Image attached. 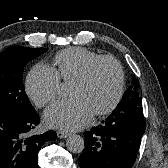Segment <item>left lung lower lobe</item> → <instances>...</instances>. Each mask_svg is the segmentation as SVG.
<instances>
[{"instance_id": "0a47b994", "label": "left lung lower lobe", "mask_w": 168, "mask_h": 168, "mask_svg": "<svg viewBox=\"0 0 168 168\" xmlns=\"http://www.w3.org/2000/svg\"><path fill=\"white\" fill-rule=\"evenodd\" d=\"M141 107L115 109L85 133L80 168H132L145 131Z\"/></svg>"}]
</instances>
